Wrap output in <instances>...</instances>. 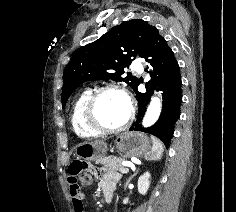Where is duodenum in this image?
Wrapping results in <instances>:
<instances>
[{
	"label": "duodenum",
	"instance_id": "410a0bca",
	"mask_svg": "<svg viewBox=\"0 0 236 212\" xmlns=\"http://www.w3.org/2000/svg\"><path fill=\"white\" fill-rule=\"evenodd\" d=\"M103 197L105 201H110L112 198V192L103 189Z\"/></svg>",
	"mask_w": 236,
	"mask_h": 212
}]
</instances>
